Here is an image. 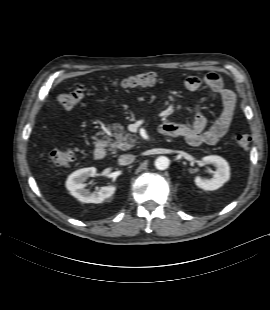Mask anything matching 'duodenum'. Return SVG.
Returning a JSON list of instances; mask_svg holds the SVG:
<instances>
[{
    "mask_svg": "<svg viewBox=\"0 0 270 310\" xmlns=\"http://www.w3.org/2000/svg\"><path fill=\"white\" fill-rule=\"evenodd\" d=\"M94 156L98 160H101L106 156V144L104 141L99 140L96 143V145L94 147Z\"/></svg>",
    "mask_w": 270,
    "mask_h": 310,
    "instance_id": "duodenum-1",
    "label": "duodenum"
}]
</instances>
